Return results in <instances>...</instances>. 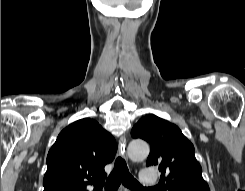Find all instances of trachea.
Returning <instances> with one entry per match:
<instances>
[{"label":"trachea","mask_w":245,"mask_h":191,"mask_svg":"<svg viewBox=\"0 0 245 191\" xmlns=\"http://www.w3.org/2000/svg\"><path fill=\"white\" fill-rule=\"evenodd\" d=\"M132 190L149 189L140 185V183L130 174L126 162L123 158L118 157L115 161L113 171L109 175L105 191H117L120 183Z\"/></svg>","instance_id":"1"}]
</instances>
